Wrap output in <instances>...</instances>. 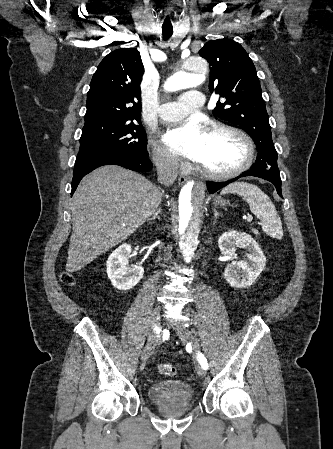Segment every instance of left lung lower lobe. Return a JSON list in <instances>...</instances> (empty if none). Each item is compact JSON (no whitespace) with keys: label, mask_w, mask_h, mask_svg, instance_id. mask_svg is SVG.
I'll use <instances>...</instances> for the list:
<instances>
[{"label":"left lung lower lobe","mask_w":333,"mask_h":449,"mask_svg":"<svg viewBox=\"0 0 333 449\" xmlns=\"http://www.w3.org/2000/svg\"><path fill=\"white\" fill-rule=\"evenodd\" d=\"M245 176H255V177L263 178V179H266V180L272 182L275 185L279 196L282 197L280 173H274V172H271L268 170H261V169H256L253 167H251L250 170L242 173L241 175H239L238 177H236L230 181L220 182V183L208 182L207 189L210 193H214L217 190L228 185L229 183H232V182L236 181L237 179H239L241 177H245Z\"/></svg>","instance_id":"left-lung-lower-lobe-1"}]
</instances>
